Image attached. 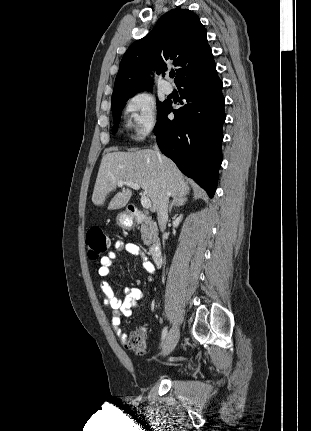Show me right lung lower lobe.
Masks as SVG:
<instances>
[{
  "label": "right lung lower lobe",
  "instance_id": "obj_1",
  "mask_svg": "<svg viewBox=\"0 0 311 431\" xmlns=\"http://www.w3.org/2000/svg\"><path fill=\"white\" fill-rule=\"evenodd\" d=\"M178 88L186 104L172 110V103H169L158 115L154 130L158 146L212 198L222 162V125L225 121L222 81L216 65ZM171 111L175 115L173 120L167 118Z\"/></svg>",
  "mask_w": 311,
  "mask_h": 431
}]
</instances>
